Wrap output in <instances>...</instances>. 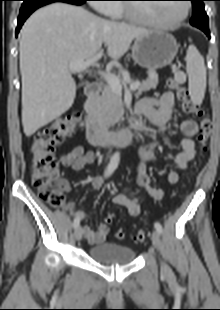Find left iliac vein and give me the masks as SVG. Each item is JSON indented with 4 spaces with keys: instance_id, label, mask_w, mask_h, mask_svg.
Listing matches in <instances>:
<instances>
[{
    "instance_id": "obj_1",
    "label": "left iliac vein",
    "mask_w": 220,
    "mask_h": 310,
    "mask_svg": "<svg viewBox=\"0 0 220 310\" xmlns=\"http://www.w3.org/2000/svg\"><path fill=\"white\" fill-rule=\"evenodd\" d=\"M151 240H152L154 247L157 250H160V235L157 231H153L152 236H151ZM160 267H161V271L164 274H167L169 272L168 266L162 261H161Z\"/></svg>"
}]
</instances>
